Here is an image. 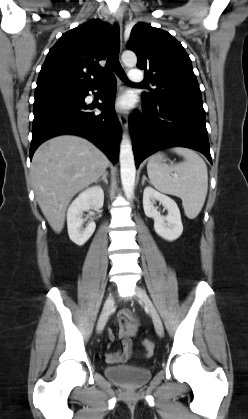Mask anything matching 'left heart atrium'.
I'll return each instance as SVG.
<instances>
[{
	"label": "left heart atrium",
	"instance_id": "39dd6f15",
	"mask_svg": "<svg viewBox=\"0 0 248 419\" xmlns=\"http://www.w3.org/2000/svg\"><path fill=\"white\" fill-rule=\"evenodd\" d=\"M132 103H133L132 96L129 94H126L121 97L119 101V106L123 109H127L132 105Z\"/></svg>",
	"mask_w": 248,
	"mask_h": 419
}]
</instances>
